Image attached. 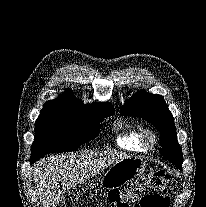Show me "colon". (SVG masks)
<instances>
[{
	"label": "colon",
	"mask_w": 206,
	"mask_h": 207,
	"mask_svg": "<svg viewBox=\"0 0 206 207\" xmlns=\"http://www.w3.org/2000/svg\"><path fill=\"white\" fill-rule=\"evenodd\" d=\"M172 191L169 174L157 170L136 178L126 190H115L109 193V200L115 207H168Z\"/></svg>",
	"instance_id": "1"
}]
</instances>
